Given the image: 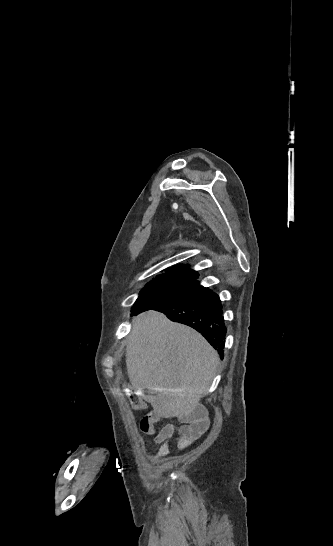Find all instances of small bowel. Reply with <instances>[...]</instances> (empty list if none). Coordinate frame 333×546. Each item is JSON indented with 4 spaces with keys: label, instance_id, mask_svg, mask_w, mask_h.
<instances>
[{
    "label": "small bowel",
    "instance_id": "1",
    "mask_svg": "<svg viewBox=\"0 0 333 546\" xmlns=\"http://www.w3.org/2000/svg\"><path fill=\"white\" fill-rule=\"evenodd\" d=\"M164 416L155 414V421H161ZM182 425L176 429L173 425L164 426L155 436L154 443L159 445L155 458L159 459L169 452L170 443L174 442L179 449H183L196 441L208 428V421L204 418H181Z\"/></svg>",
    "mask_w": 333,
    "mask_h": 546
}]
</instances>
